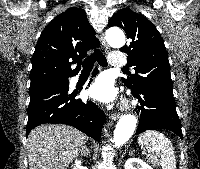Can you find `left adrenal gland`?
<instances>
[{
  "label": "left adrenal gland",
  "mask_w": 200,
  "mask_h": 169,
  "mask_svg": "<svg viewBox=\"0 0 200 169\" xmlns=\"http://www.w3.org/2000/svg\"><path fill=\"white\" fill-rule=\"evenodd\" d=\"M134 152V150H130L129 155H131Z\"/></svg>",
  "instance_id": "1"
}]
</instances>
